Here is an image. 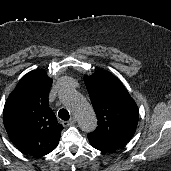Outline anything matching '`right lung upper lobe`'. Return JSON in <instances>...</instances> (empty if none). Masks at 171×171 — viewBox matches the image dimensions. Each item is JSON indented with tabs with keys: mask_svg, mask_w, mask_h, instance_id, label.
Masks as SVG:
<instances>
[{
	"mask_svg": "<svg viewBox=\"0 0 171 171\" xmlns=\"http://www.w3.org/2000/svg\"><path fill=\"white\" fill-rule=\"evenodd\" d=\"M52 80L42 70L27 73L4 106V126L12 143L24 154L41 157L57 147L63 129L49 108Z\"/></svg>",
	"mask_w": 171,
	"mask_h": 171,
	"instance_id": "right-lung-upper-lobe-1",
	"label": "right lung upper lobe"
}]
</instances>
